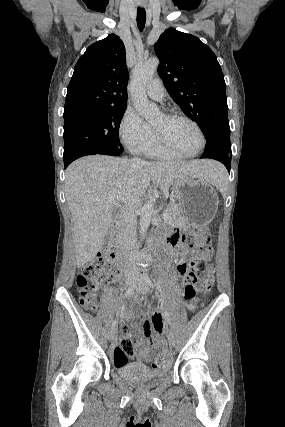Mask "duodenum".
<instances>
[{"label":"duodenum","mask_w":285,"mask_h":427,"mask_svg":"<svg viewBox=\"0 0 285 427\" xmlns=\"http://www.w3.org/2000/svg\"><path fill=\"white\" fill-rule=\"evenodd\" d=\"M125 226H126V222L121 217L117 218L112 224L114 236H113L111 247L108 252V256L114 260H118L121 256V252H122L121 232L125 229ZM159 251L161 253H166V252H170L171 248L167 242H164L159 247Z\"/></svg>","instance_id":"obj_1"}]
</instances>
